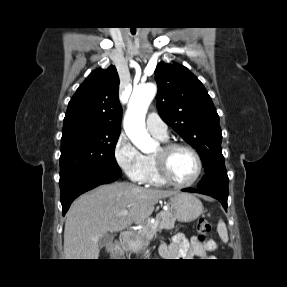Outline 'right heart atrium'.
<instances>
[{
    "mask_svg": "<svg viewBox=\"0 0 287 287\" xmlns=\"http://www.w3.org/2000/svg\"><path fill=\"white\" fill-rule=\"evenodd\" d=\"M114 158L122 171L134 182H142L145 171L144 155L124 134H120L114 146Z\"/></svg>",
    "mask_w": 287,
    "mask_h": 287,
    "instance_id": "1",
    "label": "right heart atrium"
}]
</instances>
